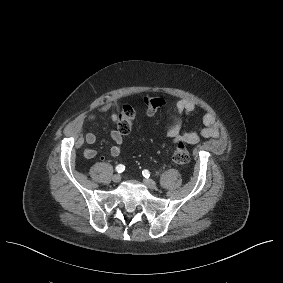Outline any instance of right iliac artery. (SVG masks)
I'll return each instance as SVG.
<instances>
[{
	"label": "right iliac artery",
	"mask_w": 283,
	"mask_h": 283,
	"mask_svg": "<svg viewBox=\"0 0 283 283\" xmlns=\"http://www.w3.org/2000/svg\"><path fill=\"white\" fill-rule=\"evenodd\" d=\"M118 173H122L124 170H125V166L122 165V164H119L116 166V169H115Z\"/></svg>",
	"instance_id": "82829eb1"
}]
</instances>
